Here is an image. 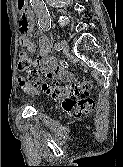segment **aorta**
Masks as SVG:
<instances>
[{
    "label": "aorta",
    "mask_w": 123,
    "mask_h": 167,
    "mask_svg": "<svg viewBox=\"0 0 123 167\" xmlns=\"http://www.w3.org/2000/svg\"><path fill=\"white\" fill-rule=\"evenodd\" d=\"M30 1H31V6L38 19L39 26L43 30H48L51 26V21L44 0H30Z\"/></svg>",
    "instance_id": "obj_1"
}]
</instances>
